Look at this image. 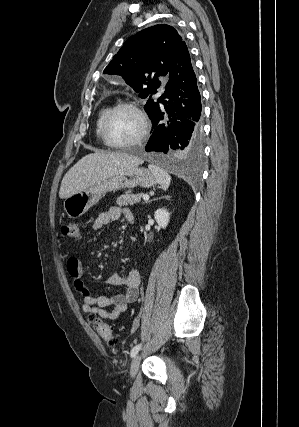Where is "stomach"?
Wrapping results in <instances>:
<instances>
[{"instance_id": "obj_1", "label": "stomach", "mask_w": 299, "mask_h": 427, "mask_svg": "<svg viewBox=\"0 0 299 427\" xmlns=\"http://www.w3.org/2000/svg\"><path fill=\"white\" fill-rule=\"evenodd\" d=\"M153 173L138 166L115 174L64 200L63 208L69 218H79L94 206L107 192L131 189L137 186L150 188L156 185Z\"/></svg>"}]
</instances>
